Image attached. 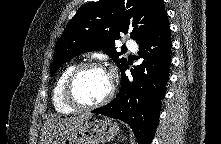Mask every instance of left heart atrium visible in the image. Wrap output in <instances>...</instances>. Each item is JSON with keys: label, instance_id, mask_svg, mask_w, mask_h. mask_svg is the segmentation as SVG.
<instances>
[{"label": "left heart atrium", "instance_id": "obj_1", "mask_svg": "<svg viewBox=\"0 0 221 144\" xmlns=\"http://www.w3.org/2000/svg\"><path fill=\"white\" fill-rule=\"evenodd\" d=\"M108 74V77H109V79H110V81H111V75L109 74V73H107Z\"/></svg>", "mask_w": 221, "mask_h": 144}]
</instances>
